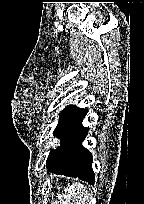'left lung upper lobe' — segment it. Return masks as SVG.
<instances>
[{
  "mask_svg": "<svg viewBox=\"0 0 144 204\" xmlns=\"http://www.w3.org/2000/svg\"><path fill=\"white\" fill-rule=\"evenodd\" d=\"M77 107H75L73 109V106H67L60 114V118H59V123L57 125V127L55 128L54 131V136H57V138L60 139V141L62 142L67 133H68V126L69 123L71 122L72 117L74 116L75 112H76Z\"/></svg>",
  "mask_w": 144,
  "mask_h": 204,
  "instance_id": "1",
  "label": "left lung upper lobe"
}]
</instances>
